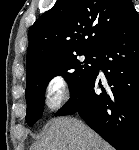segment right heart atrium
<instances>
[{
    "mask_svg": "<svg viewBox=\"0 0 139 150\" xmlns=\"http://www.w3.org/2000/svg\"><path fill=\"white\" fill-rule=\"evenodd\" d=\"M68 95L67 82L61 75L52 76L45 88V104L50 111L60 109Z\"/></svg>",
    "mask_w": 139,
    "mask_h": 150,
    "instance_id": "right-heart-atrium-1",
    "label": "right heart atrium"
}]
</instances>
